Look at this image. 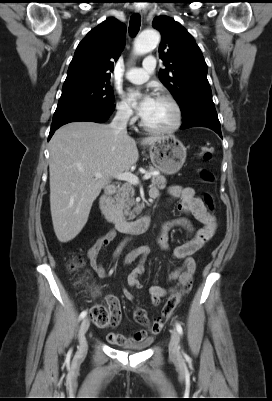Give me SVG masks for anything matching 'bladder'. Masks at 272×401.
Returning a JSON list of instances; mask_svg holds the SVG:
<instances>
[{
    "mask_svg": "<svg viewBox=\"0 0 272 401\" xmlns=\"http://www.w3.org/2000/svg\"><path fill=\"white\" fill-rule=\"evenodd\" d=\"M151 341H146L144 343H139V344H132V345H125L124 349L130 350V351H138L146 348L148 345H150Z\"/></svg>",
    "mask_w": 272,
    "mask_h": 401,
    "instance_id": "31cf9c89",
    "label": "bladder"
}]
</instances>
